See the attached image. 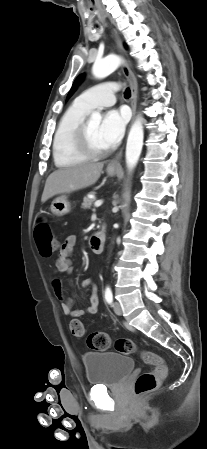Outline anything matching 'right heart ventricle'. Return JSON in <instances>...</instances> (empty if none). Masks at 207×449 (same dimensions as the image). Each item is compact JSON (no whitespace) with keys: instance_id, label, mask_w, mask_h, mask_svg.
<instances>
[{"instance_id":"obj_1","label":"right heart ventricle","mask_w":207,"mask_h":449,"mask_svg":"<svg viewBox=\"0 0 207 449\" xmlns=\"http://www.w3.org/2000/svg\"><path fill=\"white\" fill-rule=\"evenodd\" d=\"M90 110L75 102L63 114L55 130L52 144L53 160L57 167L75 166L87 160L74 148V134Z\"/></svg>"}]
</instances>
